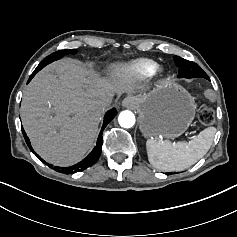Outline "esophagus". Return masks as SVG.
<instances>
[{
	"instance_id": "1",
	"label": "esophagus",
	"mask_w": 237,
	"mask_h": 237,
	"mask_svg": "<svg viewBox=\"0 0 237 237\" xmlns=\"http://www.w3.org/2000/svg\"><path fill=\"white\" fill-rule=\"evenodd\" d=\"M136 98L133 96H127L126 98H124V100L122 101V105L124 107H128V108H134L135 104H136Z\"/></svg>"
}]
</instances>
